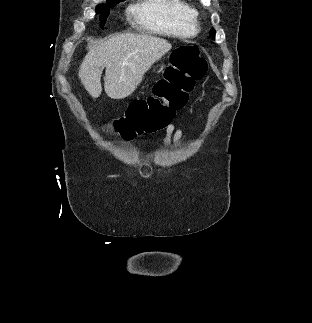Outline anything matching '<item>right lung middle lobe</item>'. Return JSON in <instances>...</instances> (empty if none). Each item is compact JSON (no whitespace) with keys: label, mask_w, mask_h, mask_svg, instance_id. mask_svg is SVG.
I'll use <instances>...</instances> for the list:
<instances>
[{"label":"right lung middle lobe","mask_w":312,"mask_h":323,"mask_svg":"<svg viewBox=\"0 0 312 323\" xmlns=\"http://www.w3.org/2000/svg\"><path fill=\"white\" fill-rule=\"evenodd\" d=\"M123 1V0H122ZM114 3H109V4H103V5H98L96 8V13L101 12L100 14V22L101 26L103 27L105 24V21L108 17L109 14V8L113 5Z\"/></svg>","instance_id":"1"}]
</instances>
